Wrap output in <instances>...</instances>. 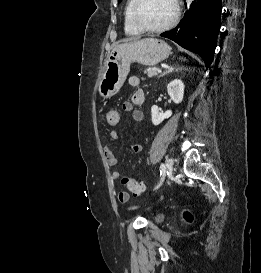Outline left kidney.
<instances>
[{"instance_id": "left-kidney-1", "label": "left kidney", "mask_w": 261, "mask_h": 273, "mask_svg": "<svg viewBox=\"0 0 261 273\" xmlns=\"http://www.w3.org/2000/svg\"><path fill=\"white\" fill-rule=\"evenodd\" d=\"M167 90H168V94H169L171 100L174 103L179 104L182 102L183 96H184V84L180 79H175V80L171 81L167 85ZM171 115H172L171 110H168L166 112H162L159 110L158 106H156V105H153L151 107L152 123L155 126L159 125L165 119L171 117Z\"/></svg>"}]
</instances>
